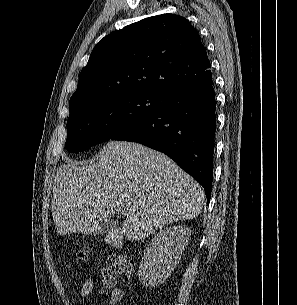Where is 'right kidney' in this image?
Masks as SVG:
<instances>
[{
  "label": "right kidney",
  "instance_id": "1",
  "mask_svg": "<svg viewBox=\"0 0 297 305\" xmlns=\"http://www.w3.org/2000/svg\"><path fill=\"white\" fill-rule=\"evenodd\" d=\"M190 240V230L185 226H173L160 230L143 253L138 277L145 287L163 283L181 259Z\"/></svg>",
  "mask_w": 297,
  "mask_h": 305
}]
</instances>
